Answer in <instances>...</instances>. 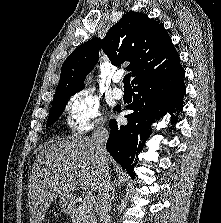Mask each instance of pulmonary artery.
<instances>
[{
    "label": "pulmonary artery",
    "instance_id": "obj_1",
    "mask_svg": "<svg viewBox=\"0 0 221 223\" xmlns=\"http://www.w3.org/2000/svg\"><path fill=\"white\" fill-rule=\"evenodd\" d=\"M113 81H114L115 83H120V82L122 81V78H121L120 75H116V76H114ZM113 96H114L116 99H121V98L124 96V92H123V90H122L121 88H119V87H115V88L113 89Z\"/></svg>",
    "mask_w": 221,
    "mask_h": 223
}]
</instances>
